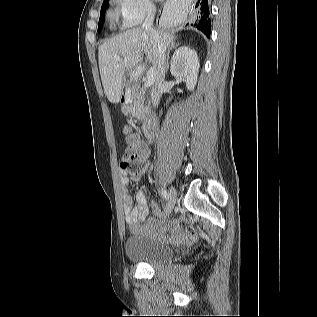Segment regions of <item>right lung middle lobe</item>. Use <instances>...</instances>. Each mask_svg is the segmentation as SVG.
I'll return each mask as SVG.
<instances>
[{
  "label": "right lung middle lobe",
  "instance_id": "right-lung-middle-lobe-1",
  "mask_svg": "<svg viewBox=\"0 0 317 317\" xmlns=\"http://www.w3.org/2000/svg\"><path fill=\"white\" fill-rule=\"evenodd\" d=\"M109 0H104L102 8H101V13H100V19H99V24H98V31L101 30L104 22V17H105V11L107 8Z\"/></svg>",
  "mask_w": 317,
  "mask_h": 317
}]
</instances>
